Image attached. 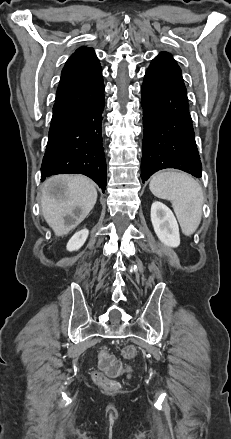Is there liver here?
I'll return each instance as SVG.
<instances>
[{
    "mask_svg": "<svg viewBox=\"0 0 231 439\" xmlns=\"http://www.w3.org/2000/svg\"><path fill=\"white\" fill-rule=\"evenodd\" d=\"M96 201L95 184L83 175H55L42 186V213L57 236L66 235L83 221ZM65 217H71L74 224L68 225Z\"/></svg>",
    "mask_w": 231,
    "mask_h": 439,
    "instance_id": "obj_1",
    "label": "liver"
}]
</instances>
